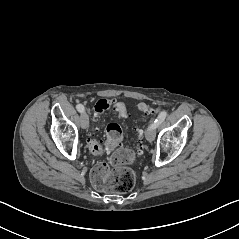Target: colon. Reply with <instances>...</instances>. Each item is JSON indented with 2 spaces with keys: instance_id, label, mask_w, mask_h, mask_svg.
I'll return each instance as SVG.
<instances>
[{
  "instance_id": "colon-1",
  "label": "colon",
  "mask_w": 239,
  "mask_h": 239,
  "mask_svg": "<svg viewBox=\"0 0 239 239\" xmlns=\"http://www.w3.org/2000/svg\"><path fill=\"white\" fill-rule=\"evenodd\" d=\"M110 108H114L112 100H99L93 108L95 118H99ZM138 108L146 114L157 112V109L145 103H140ZM119 116L125 117L126 113L121 112ZM139 137L142 138L141 130L139 131ZM122 138L123 132L120 125L112 122L106 126V140L104 143L99 142L94 136L89 139V148L94 154L113 151L109 164L99 163L92 170V182L99 190L122 194L129 192L135 185L136 176L128 164L141 153V142L138 150L131 152L127 149H119Z\"/></svg>"
}]
</instances>
